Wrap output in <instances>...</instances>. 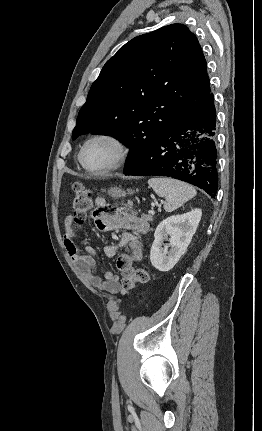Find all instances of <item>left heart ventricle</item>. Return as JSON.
Here are the masks:
<instances>
[{
    "instance_id": "1",
    "label": "left heart ventricle",
    "mask_w": 262,
    "mask_h": 431,
    "mask_svg": "<svg viewBox=\"0 0 262 431\" xmlns=\"http://www.w3.org/2000/svg\"><path fill=\"white\" fill-rule=\"evenodd\" d=\"M116 155L115 146L105 140L91 143L84 154V164L92 170L104 169L112 164Z\"/></svg>"
}]
</instances>
